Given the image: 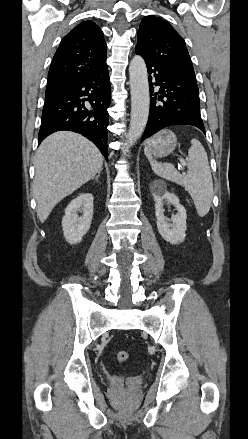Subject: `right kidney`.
<instances>
[{
	"mask_svg": "<svg viewBox=\"0 0 248 439\" xmlns=\"http://www.w3.org/2000/svg\"><path fill=\"white\" fill-rule=\"evenodd\" d=\"M78 212H82L81 217ZM93 217V195L83 193L73 199L65 209L62 218L63 234L70 244L80 243L83 236L89 231Z\"/></svg>",
	"mask_w": 248,
	"mask_h": 439,
	"instance_id": "right-kidney-1",
	"label": "right kidney"
}]
</instances>
